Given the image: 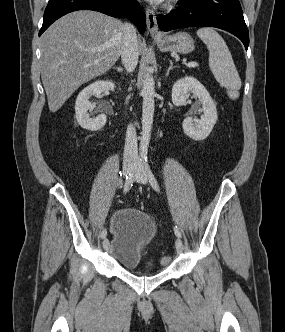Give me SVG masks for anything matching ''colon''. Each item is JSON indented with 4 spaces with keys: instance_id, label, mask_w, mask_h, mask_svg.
I'll list each match as a JSON object with an SVG mask.
<instances>
[{
    "instance_id": "5ec220e1",
    "label": "colon",
    "mask_w": 285,
    "mask_h": 332,
    "mask_svg": "<svg viewBox=\"0 0 285 332\" xmlns=\"http://www.w3.org/2000/svg\"><path fill=\"white\" fill-rule=\"evenodd\" d=\"M170 262V257L169 256H164L162 259H161V263L162 264H167Z\"/></svg>"
}]
</instances>
